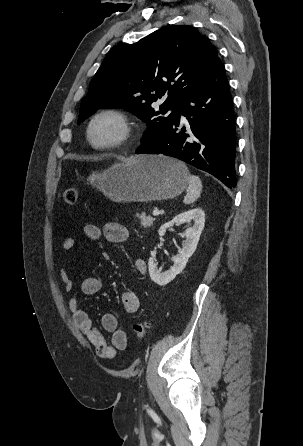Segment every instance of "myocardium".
I'll return each mask as SVG.
<instances>
[{
	"instance_id": "obj_1",
	"label": "myocardium",
	"mask_w": 303,
	"mask_h": 446,
	"mask_svg": "<svg viewBox=\"0 0 303 446\" xmlns=\"http://www.w3.org/2000/svg\"><path fill=\"white\" fill-rule=\"evenodd\" d=\"M101 118H110L118 126L119 132L117 136L110 142L105 144H96L91 137V131L94 124ZM135 126L130 115L118 108H104L97 111L89 119L85 136L88 144L96 150H111L123 146L131 140L134 135Z\"/></svg>"
}]
</instances>
